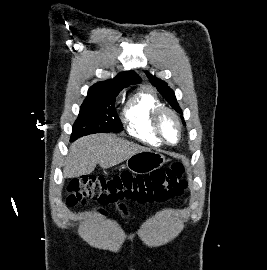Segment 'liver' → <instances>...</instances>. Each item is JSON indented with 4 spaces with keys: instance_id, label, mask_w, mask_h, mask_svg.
Here are the masks:
<instances>
[{
    "instance_id": "obj_1",
    "label": "liver",
    "mask_w": 267,
    "mask_h": 270,
    "mask_svg": "<svg viewBox=\"0 0 267 270\" xmlns=\"http://www.w3.org/2000/svg\"><path fill=\"white\" fill-rule=\"evenodd\" d=\"M147 150L139 144L109 134L86 136L70 146L63 174L65 178L87 175L94 171L97 164L108 169Z\"/></svg>"
}]
</instances>
